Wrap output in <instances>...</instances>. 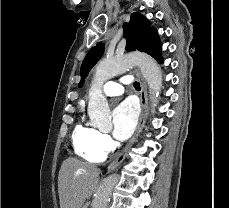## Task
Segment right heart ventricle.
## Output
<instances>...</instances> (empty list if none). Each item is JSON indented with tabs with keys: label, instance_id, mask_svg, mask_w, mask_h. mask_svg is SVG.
Returning a JSON list of instances; mask_svg holds the SVG:
<instances>
[{
	"label": "right heart ventricle",
	"instance_id": "1",
	"mask_svg": "<svg viewBox=\"0 0 229 208\" xmlns=\"http://www.w3.org/2000/svg\"><path fill=\"white\" fill-rule=\"evenodd\" d=\"M97 133L98 131L95 128L78 123L73 129L71 137L75 154L88 162L102 160L104 154L101 153L95 145Z\"/></svg>",
	"mask_w": 229,
	"mask_h": 208
}]
</instances>
